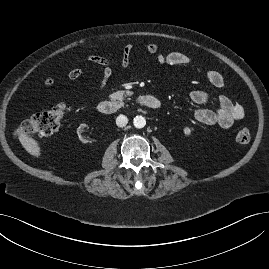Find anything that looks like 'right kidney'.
<instances>
[{
	"label": "right kidney",
	"instance_id": "ca27d5eb",
	"mask_svg": "<svg viewBox=\"0 0 269 269\" xmlns=\"http://www.w3.org/2000/svg\"><path fill=\"white\" fill-rule=\"evenodd\" d=\"M87 127L86 124H80V126L77 129V134L78 137L80 139V141L84 142V143H94V138H83L82 137V133L85 131V128Z\"/></svg>",
	"mask_w": 269,
	"mask_h": 269
}]
</instances>
